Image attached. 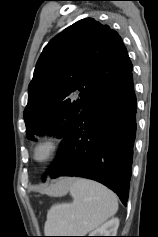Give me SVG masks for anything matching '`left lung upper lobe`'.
<instances>
[{
  "label": "left lung upper lobe",
  "instance_id": "left-lung-upper-lobe-1",
  "mask_svg": "<svg viewBox=\"0 0 158 237\" xmlns=\"http://www.w3.org/2000/svg\"><path fill=\"white\" fill-rule=\"evenodd\" d=\"M132 69L121 37L109 26L93 18L69 26L36 64L24 110L27 137L64 138L87 103Z\"/></svg>",
  "mask_w": 158,
  "mask_h": 237
}]
</instances>
